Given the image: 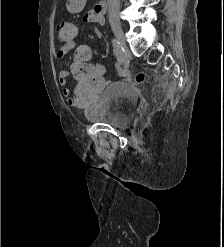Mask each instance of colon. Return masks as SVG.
Instances as JSON below:
<instances>
[{
	"label": "colon",
	"mask_w": 224,
	"mask_h": 247,
	"mask_svg": "<svg viewBox=\"0 0 224 247\" xmlns=\"http://www.w3.org/2000/svg\"><path fill=\"white\" fill-rule=\"evenodd\" d=\"M77 26L70 21L62 20L57 23L56 33L61 41L76 39ZM91 58V50L86 47H80L77 51L76 62L72 66V75L78 81H83L88 84L85 89H79L72 97L74 105L83 106L91 103L97 96L98 92L105 86V82L99 72L88 63ZM145 74L138 72L135 80L141 84L145 81Z\"/></svg>",
	"instance_id": "1"
}]
</instances>
